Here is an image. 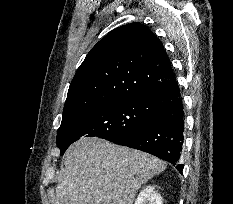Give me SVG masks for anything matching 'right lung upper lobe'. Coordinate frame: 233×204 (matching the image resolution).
<instances>
[{"instance_id":"cb5924a9","label":"right lung upper lobe","mask_w":233,"mask_h":204,"mask_svg":"<svg viewBox=\"0 0 233 204\" xmlns=\"http://www.w3.org/2000/svg\"><path fill=\"white\" fill-rule=\"evenodd\" d=\"M175 80L161 41L145 25L120 26L87 54L68 90L59 129L114 101L151 96Z\"/></svg>"}]
</instances>
